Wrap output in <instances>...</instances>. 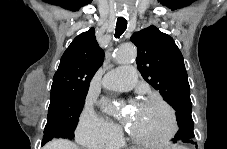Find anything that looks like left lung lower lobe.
I'll return each instance as SVG.
<instances>
[{"label":"left lung lower lobe","mask_w":227,"mask_h":149,"mask_svg":"<svg viewBox=\"0 0 227 149\" xmlns=\"http://www.w3.org/2000/svg\"><path fill=\"white\" fill-rule=\"evenodd\" d=\"M173 142L174 143H177V142H184V143H190V144H193V145H196V142L194 141V138H186V139H173ZM197 147V146H196Z\"/></svg>","instance_id":"obj_1"}]
</instances>
